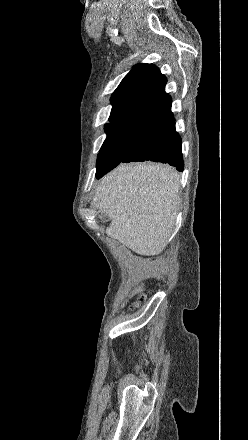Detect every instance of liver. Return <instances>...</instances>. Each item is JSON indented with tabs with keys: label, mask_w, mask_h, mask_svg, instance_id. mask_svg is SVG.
<instances>
[{
	"label": "liver",
	"mask_w": 248,
	"mask_h": 440,
	"mask_svg": "<svg viewBox=\"0 0 248 440\" xmlns=\"http://www.w3.org/2000/svg\"><path fill=\"white\" fill-rule=\"evenodd\" d=\"M180 176L151 162L121 164L100 181L93 207L111 220L108 235L137 254L161 253L173 232Z\"/></svg>",
	"instance_id": "obj_1"
}]
</instances>
